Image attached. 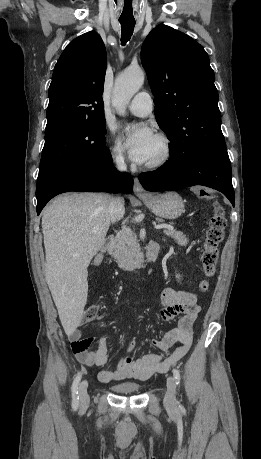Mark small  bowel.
Wrapping results in <instances>:
<instances>
[{"instance_id": "1", "label": "small bowel", "mask_w": 261, "mask_h": 459, "mask_svg": "<svg viewBox=\"0 0 261 459\" xmlns=\"http://www.w3.org/2000/svg\"><path fill=\"white\" fill-rule=\"evenodd\" d=\"M103 262V256L98 254L94 258V265L98 266ZM200 312L197 303V296L191 291H176L166 288L161 293V309L159 320L162 323L177 320L175 328L167 331L158 339L153 341L157 352H150L138 359L130 356L134 348L131 341L126 349V355L119 361L116 369H104L98 374L101 382H111L127 378L146 379L155 371L168 370L176 364L191 347L193 336L192 327ZM71 349L77 360L88 367L104 366L108 362V347L103 338H82L77 327L67 330ZM179 342L180 346L174 353L163 359L165 352L174 343ZM94 345V349L90 347Z\"/></svg>"}]
</instances>
